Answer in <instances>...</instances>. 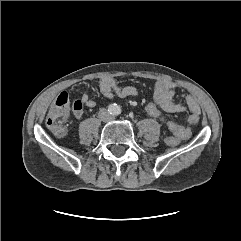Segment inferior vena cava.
<instances>
[{
	"label": "inferior vena cava",
	"instance_id": "1",
	"mask_svg": "<svg viewBox=\"0 0 241 241\" xmlns=\"http://www.w3.org/2000/svg\"><path fill=\"white\" fill-rule=\"evenodd\" d=\"M99 118L103 121V122H108V121H112L114 119V116L112 114H110L108 112L107 109L102 108L99 111Z\"/></svg>",
	"mask_w": 241,
	"mask_h": 241
}]
</instances>
